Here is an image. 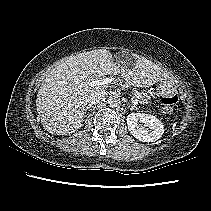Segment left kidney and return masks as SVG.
I'll return each mask as SVG.
<instances>
[{"mask_svg":"<svg viewBox=\"0 0 211 211\" xmlns=\"http://www.w3.org/2000/svg\"><path fill=\"white\" fill-rule=\"evenodd\" d=\"M127 125L130 133L142 142L156 141L164 133L162 122L149 114L131 113L127 116Z\"/></svg>","mask_w":211,"mask_h":211,"instance_id":"left-kidney-1","label":"left kidney"}]
</instances>
